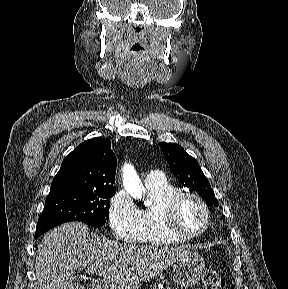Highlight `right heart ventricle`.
<instances>
[{
  "label": "right heart ventricle",
  "mask_w": 288,
  "mask_h": 289,
  "mask_svg": "<svg viewBox=\"0 0 288 289\" xmlns=\"http://www.w3.org/2000/svg\"><path fill=\"white\" fill-rule=\"evenodd\" d=\"M147 188L152 195L153 204L142 210L144 230L140 241L153 245L182 243L184 239L176 237L165 230L160 217L162 202L170 195L179 192V189L168 181L161 185L147 186Z\"/></svg>",
  "instance_id": "right-heart-ventricle-1"
}]
</instances>
